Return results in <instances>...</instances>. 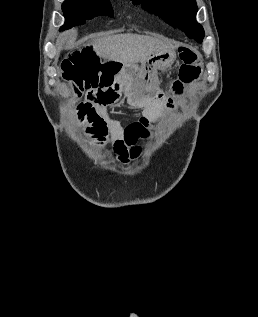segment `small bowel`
Returning a JSON list of instances; mask_svg holds the SVG:
<instances>
[{"label": "small bowel", "mask_w": 258, "mask_h": 317, "mask_svg": "<svg viewBox=\"0 0 258 317\" xmlns=\"http://www.w3.org/2000/svg\"><path fill=\"white\" fill-rule=\"evenodd\" d=\"M76 116L84 125L85 134L91 141L96 146L103 147L110 140L119 161L124 164L140 156L139 139L152 137L146 119L124 127L118 120L88 101L78 104Z\"/></svg>", "instance_id": "small-bowel-1"}]
</instances>
